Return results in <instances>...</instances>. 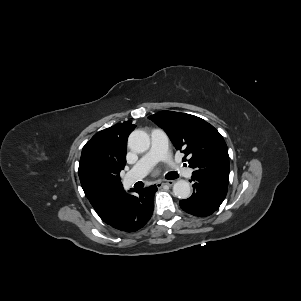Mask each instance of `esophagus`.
<instances>
[{"instance_id": "obj_1", "label": "esophagus", "mask_w": 301, "mask_h": 301, "mask_svg": "<svg viewBox=\"0 0 301 301\" xmlns=\"http://www.w3.org/2000/svg\"><path fill=\"white\" fill-rule=\"evenodd\" d=\"M174 183H175L174 180H165V181H160V182H158V183H157V186H158V187H163V186H169V187H171V186L174 185Z\"/></svg>"}]
</instances>
